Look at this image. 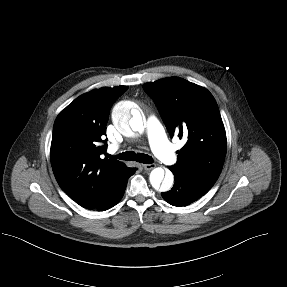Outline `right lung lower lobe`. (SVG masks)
<instances>
[{
  "mask_svg": "<svg viewBox=\"0 0 287 287\" xmlns=\"http://www.w3.org/2000/svg\"><path fill=\"white\" fill-rule=\"evenodd\" d=\"M135 171H136V168H132L128 177L125 178L123 182L113 191L109 199L93 209H96L98 211H105V210L112 208L114 205H116L123 197L124 191L127 186L128 178L131 175H133Z\"/></svg>",
  "mask_w": 287,
  "mask_h": 287,
  "instance_id": "obj_1",
  "label": "right lung lower lobe"
}]
</instances>
